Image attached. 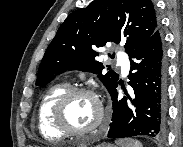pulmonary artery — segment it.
Returning <instances> with one entry per match:
<instances>
[{"mask_svg": "<svg viewBox=\"0 0 183 147\" xmlns=\"http://www.w3.org/2000/svg\"><path fill=\"white\" fill-rule=\"evenodd\" d=\"M121 60H119V64L121 65V69L124 73H127L129 70V61L126 58H123L122 54H119Z\"/></svg>", "mask_w": 183, "mask_h": 147, "instance_id": "1", "label": "pulmonary artery"}]
</instances>
